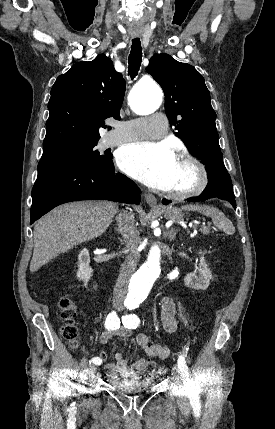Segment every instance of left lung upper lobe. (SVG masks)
Instances as JSON below:
<instances>
[{
  "label": "left lung upper lobe",
  "mask_w": 275,
  "mask_h": 429,
  "mask_svg": "<svg viewBox=\"0 0 275 429\" xmlns=\"http://www.w3.org/2000/svg\"><path fill=\"white\" fill-rule=\"evenodd\" d=\"M146 70L164 91L165 109L175 135L206 166L209 181L231 182L218 142L216 113L201 74L163 53L154 55Z\"/></svg>",
  "instance_id": "5c2ea615"
}]
</instances>
